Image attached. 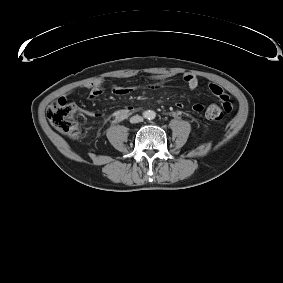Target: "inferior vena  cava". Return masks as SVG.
<instances>
[{
  "label": "inferior vena cava",
  "instance_id": "inferior-vena-cava-1",
  "mask_svg": "<svg viewBox=\"0 0 283 283\" xmlns=\"http://www.w3.org/2000/svg\"><path fill=\"white\" fill-rule=\"evenodd\" d=\"M142 121H143V118L141 116H138V115L133 116L130 119L131 123H138V122H142Z\"/></svg>",
  "mask_w": 283,
  "mask_h": 283
}]
</instances>
